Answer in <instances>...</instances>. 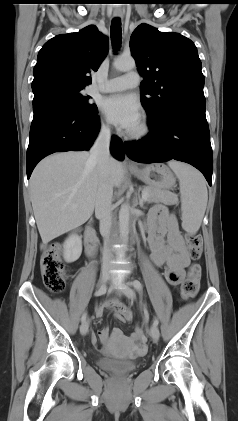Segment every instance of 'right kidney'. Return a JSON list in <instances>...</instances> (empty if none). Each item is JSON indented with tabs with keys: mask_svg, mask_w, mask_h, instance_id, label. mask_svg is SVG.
Wrapping results in <instances>:
<instances>
[{
	"mask_svg": "<svg viewBox=\"0 0 238 421\" xmlns=\"http://www.w3.org/2000/svg\"><path fill=\"white\" fill-rule=\"evenodd\" d=\"M63 249V258L66 262L76 261L82 253L81 237L76 234L69 236L64 242Z\"/></svg>",
	"mask_w": 238,
	"mask_h": 421,
	"instance_id": "1",
	"label": "right kidney"
}]
</instances>
